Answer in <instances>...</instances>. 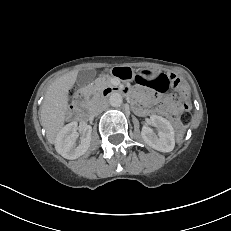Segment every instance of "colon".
<instances>
[{
	"label": "colon",
	"instance_id": "1",
	"mask_svg": "<svg viewBox=\"0 0 231 231\" xmlns=\"http://www.w3.org/2000/svg\"><path fill=\"white\" fill-rule=\"evenodd\" d=\"M179 85H180V80L175 79L174 86H179ZM178 100L181 106L185 110L183 114L178 115L177 117L174 118V124L176 127V138L178 141H181L183 139L187 122H188L191 99L187 93L182 92Z\"/></svg>",
	"mask_w": 231,
	"mask_h": 231
}]
</instances>
